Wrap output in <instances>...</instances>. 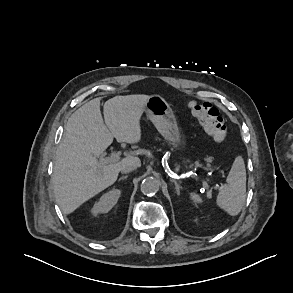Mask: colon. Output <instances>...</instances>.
Wrapping results in <instances>:
<instances>
[{"label": "colon", "mask_w": 293, "mask_h": 293, "mask_svg": "<svg viewBox=\"0 0 293 293\" xmlns=\"http://www.w3.org/2000/svg\"><path fill=\"white\" fill-rule=\"evenodd\" d=\"M188 108L203 131L216 142H224L228 130L219 110L209 102L190 101Z\"/></svg>", "instance_id": "1"}]
</instances>
